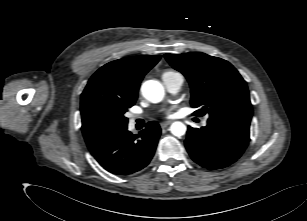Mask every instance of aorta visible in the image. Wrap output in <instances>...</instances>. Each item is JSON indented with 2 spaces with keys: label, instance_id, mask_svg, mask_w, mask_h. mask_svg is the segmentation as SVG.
<instances>
[{
  "label": "aorta",
  "instance_id": "762f6f07",
  "mask_svg": "<svg viewBox=\"0 0 307 221\" xmlns=\"http://www.w3.org/2000/svg\"><path fill=\"white\" fill-rule=\"evenodd\" d=\"M142 95L152 103H159L165 96V90L162 84L156 80H148L142 84ZM170 131L174 136H183L186 132V126L179 121L172 123Z\"/></svg>",
  "mask_w": 307,
  "mask_h": 221
}]
</instances>
